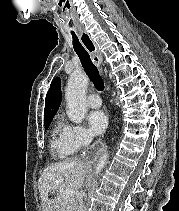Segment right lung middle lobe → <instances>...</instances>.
<instances>
[{
	"label": "right lung middle lobe",
	"mask_w": 179,
	"mask_h": 211,
	"mask_svg": "<svg viewBox=\"0 0 179 211\" xmlns=\"http://www.w3.org/2000/svg\"><path fill=\"white\" fill-rule=\"evenodd\" d=\"M52 119H53V117L48 118V119H45V122H44V124H45V129H48V127H49L50 122L52 121Z\"/></svg>",
	"instance_id": "1"
}]
</instances>
